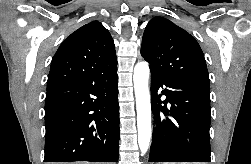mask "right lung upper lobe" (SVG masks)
Listing matches in <instances>:
<instances>
[{
  "label": "right lung upper lobe",
  "mask_w": 251,
  "mask_h": 164,
  "mask_svg": "<svg viewBox=\"0 0 251 164\" xmlns=\"http://www.w3.org/2000/svg\"><path fill=\"white\" fill-rule=\"evenodd\" d=\"M117 66L116 52L109 31L92 21L69 35L55 53L47 89L80 80Z\"/></svg>",
  "instance_id": "1"
}]
</instances>
